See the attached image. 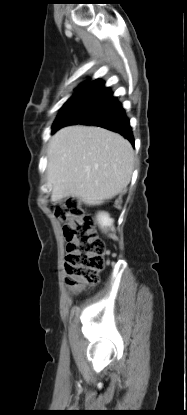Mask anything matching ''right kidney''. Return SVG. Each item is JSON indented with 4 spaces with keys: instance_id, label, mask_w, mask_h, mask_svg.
I'll use <instances>...</instances> for the list:
<instances>
[{
    "instance_id": "right-kidney-1",
    "label": "right kidney",
    "mask_w": 187,
    "mask_h": 415,
    "mask_svg": "<svg viewBox=\"0 0 187 415\" xmlns=\"http://www.w3.org/2000/svg\"><path fill=\"white\" fill-rule=\"evenodd\" d=\"M97 221L102 229H106L107 227L111 226V224L113 223V220L105 212L98 213Z\"/></svg>"
}]
</instances>
